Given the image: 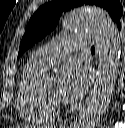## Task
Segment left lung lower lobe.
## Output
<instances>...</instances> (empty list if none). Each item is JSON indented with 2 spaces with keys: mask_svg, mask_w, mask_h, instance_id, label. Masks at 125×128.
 <instances>
[{
  "mask_svg": "<svg viewBox=\"0 0 125 128\" xmlns=\"http://www.w3.org/2000/svg\"><path fill=\"white\" fill-rule=\"evenodd\" d=\"M117 26H118L119 29H121V24L120 23Z\"/></svg>",
  "mask_w": 125,
  "mask_h": 128,
  "instance_id": "obj_1",
  "label": "left lung lower lobe"
}]
</instances>
